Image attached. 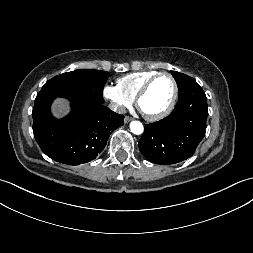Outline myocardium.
I'll return each instance as SVG.
<instances>
[{"instance_id": "1", "label": "myocardium", "mask_w": 253, "mask_h": 253, "mask_svg": "<svg viewBox=\"0 0 253 253\" xmlns=\"http://www.w3.org/2000/svg\"><path fill=\"white\" fill-rule=\"evenodd\" d=\"M162 76H167L172 81V84H173V95H172L171 101H170L169 105L163 111H161L160 113H157V114H154V115L145 114V113H143L140 110V107H139L140 101L146 95V93L150 89L151 85L158 78H160ZM178 94H179L178 83H177L176 79L174 78V76L171 73H169V72H159L156 75H154L153 77H151L141 87V89L138 91L137 95L135 96L134 100H135L136 107L142 113V115L145 117V119H147L148 121H158V120H161V119L167 117L173 111V109L175 108V105L177 103Z\"/></svg>"}]
</instances>
